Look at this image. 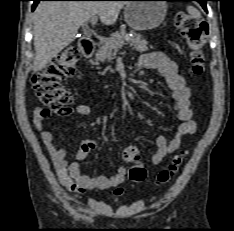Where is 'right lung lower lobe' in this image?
<instances>
[{
	"instance_id": "98d812e1",
	"label": "right lung lower lobe",
	"mask_w": 234,
	"mask_h": 231,
	"mask_svg": "<svg viewBox=\"0 0 234 231\" xmlns=\"http://www.w3.org/2000/svg\"><path fill=\"white\" fill-rule=\"evenodd\" d=\"M33 1H34V4L32 6V11H34V9L36 8L37 4L40 1H71V0H33ZM95 1H104V0H95Z\"/></svg>"
}]
</instances>
